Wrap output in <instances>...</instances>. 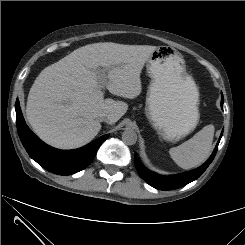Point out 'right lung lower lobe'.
Masks as SVG:
<instances>
[{
	"label": "right lung lower lobe",
	"instance_id": "right-lung-lower-lobe-1",
	"mask_svg": "<svg viewBox=\"0 0 245 245\" xmlns=\"http://www.w3.org/2000/svg\"><path fill=\"white\" fill-rule=\"evenodd\" d=\"M18 134L29 156L46 170L71 175L85 169L94 159L100 145L108 138L103 135L75 150H58L42 142L26 125L17 99L15 104Z\"/></svg>",
	"mask_w": 245,
	"mask_h": 245
}]
</instances>
